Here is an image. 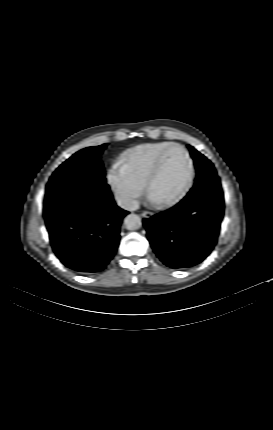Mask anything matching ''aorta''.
<instances>
[{"label":"aorta","mask_w":273,"mask_h":430,"mask_svg":"<svg viewBox=\"0 0 273 430\" xmlns=\"http://www.w3.org/2000/svg\"><path fill=\"white\" fill-rule=\"evenodd\" d=\"M124 224L128 230H137L141 227L142 222L138 215L132 213L126 216L124 219Z\"/></svg>","instance_id":"762f6f07"}]
</instances>
